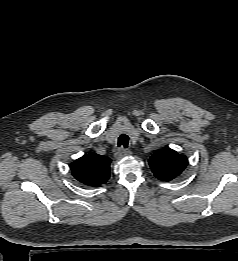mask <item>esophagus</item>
Segmentation results:
<instances>
[{"label": "esophagus", "instance_id": "1", "mask_svg": "<svg viewBox=\"0 0 238 261\" xmlns=\"http://www.w3.org/2000/svg\"><path fill=\"white\" fill-rule=\"evenodd\" d=\"M131 154V151L129 149H125L123 147L119 148L116 152V158H122L124 156H128Z\"/></svg>", "mask_w": 238, "mask_h": 261}]
</instances>
